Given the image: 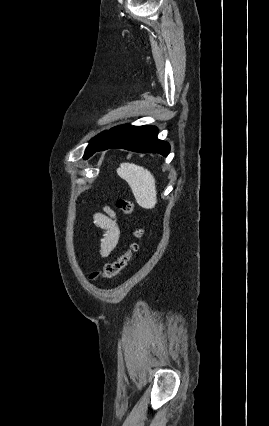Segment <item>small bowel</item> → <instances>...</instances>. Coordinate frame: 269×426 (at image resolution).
I'll list each match as a JSON object with an SVG mask.
<instances>
[{
	"label": "small bowel",
	"mask_w": 269,
	"mask_h": 426,
	"mask_svg": "<svg viewBox=\"0 0 269 426\" xmlns=\"http://www.w3.org/2000/svg\"><path fill=\"white\" fill-rule=\"evenodd\" d=\"M94 222L105 232L101 240L99 255L106 258L113 252L120 240L121 227L115 213L110 208H105L104 212L96 213Z\"/></svg>",
	"instance_id": "small-bowel-1"
}]
</instances>
